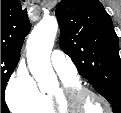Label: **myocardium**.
I'll list each match as a JSON object with an SVG mask.
<instances>
[{
    "instance_id": "f54148a6",
    "label": "myocardium",
    "mask_w": 121,
    "mask_h": 113,
    "mask_svg": "<svg viewBox=\"0 0 121 113\" xmlns=\"http://www.w3.org/2000/svg\"><path fill=\"white\" fill-rule=\"evenodd\" d=\"M86 95L98 98L105 106V113H111V105L103 95L80 85H64L52 94L51 99L57 113H74L70 110L76 109V101Z\"/></svg>"
}]
</instances>
